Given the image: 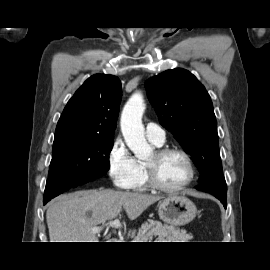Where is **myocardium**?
<instances>
[{
	"label": "myocardium",
	"instance_id": "1",
	"mask_svg": "<svg viewBox=\"0 0 270 270\" xmlns=\"http://www.w3.org/2000/svg\"><path fill=\"white\" fill-rule=\"evenodd\" d=\"M154 153H155L156 158H161L171 153H176V154L181 155L184 158L188 167V177L183 183L177 186H174V187L165 186L158 181L156 177L154 165L150 162H145L144 166H145L146 179H147L148 185L151 188L160 192H164V193H176L187 188L193 182L196 171H195L193 160L187 151L179 147H160V148H157Z\"/></svg>",
	"mask_w": 270,
	"mask_h": 270
}]
</instances>
